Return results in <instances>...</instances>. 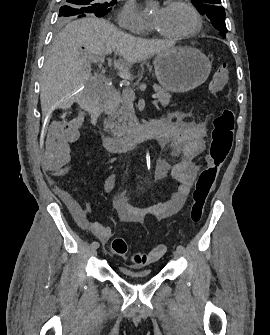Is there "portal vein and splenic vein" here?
<instances>
[{
	"label": "portal vein and splenic vein",
	"instance_id": "obj_1",
	"mask_svg": "<svg viewBox=\"0 0 270 335\" xmlns=\"http://www.w3.org/2000/svg\"><path fill=\"white\" fill-rule=\"evenodd\" d=\"M104 58H105V53L100 52L99 55H98L97 61L99 63H102L104 61ZM124 91L127 95L126 96L127 101H134V100L138 99L137 93H136V91L133 90V88H130L129 86H126L124 88ZM139 99H142V96H139ZM157 102L158 101L156 99L152 100V103H154V104H157Z\"/></svg>",
	"mask_w": 270,
	"mask_h": 335
}]
</instances>
